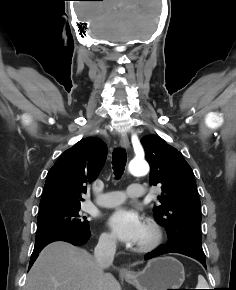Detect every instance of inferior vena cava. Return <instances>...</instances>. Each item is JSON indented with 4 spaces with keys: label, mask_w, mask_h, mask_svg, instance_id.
I'll use <instances>...</instances> for the list:
<instances>
[{
    "label": "inferior vena cava",
    "mask_w": 236,
    "mask_h": 290,
    "mask_svg": "<svg viewBox=\"0 0 236 290\" xmlns=\"http://www.w3.org/2000/svg\"><path fill=\"white\" fill-rule=\"evenodd\" d=\"M116 237L102 236L94 250V257L102 269L109 267L116 252Z\"/></svg>",
    "instance_id": "1"
}]
</instances>
